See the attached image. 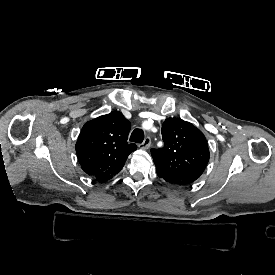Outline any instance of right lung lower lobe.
Wrapping results in <instances>:
<instances>
[{
  "instance_id": "1",
  "label": "right lung lower lobe",
  "mask_w": 275,
  "mask_h": 275,
  "mask_svg": "<svg viewBox=\"0 0 275 275\" xmlns=\"http://www.w3.org/2000/svg\"><path fill=\"white\" fill-rule=\"evenodd\" d=\"M97 180H99V181H105V180H108V179L105 178V177H99V178H97Z\"/></svg>"
}]
</instances>
